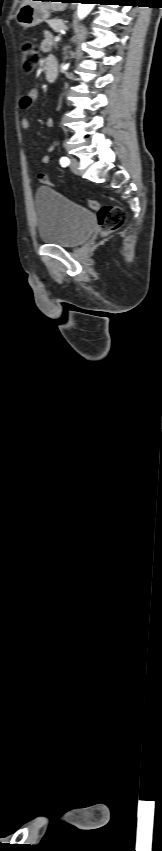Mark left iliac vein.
Masks as SVG:
<instances>
[{
    "label": "left iliac vein",
    "mask_w": 162,
    "mask_h": 851,
    "mask_svg": "<svg viewBox=\"0 0 162 851\" xmlns=\"http://www.w3.org/2000/svg\"><path fill=\"white\" fill-rule=\"evenodd\" d=\"M70 169H71V171H72L74 174H76V175H79V174H80V171H79V163H78V160H77V159H75V158H72V159H71V161H70Z\"/></svg>",
    "instance_id": "1"
}]
</instances>
